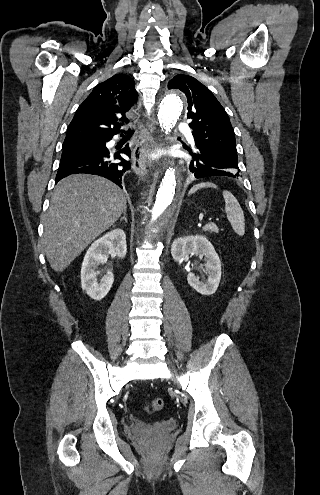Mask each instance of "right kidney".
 I'll return each mask as SVG.
<instances>
[{
	"instance_id": "obj_1",
	"label": "right kidney",
	"mask_w": 320,
	"mask_h": 495,
	"mask_svg": "<svg viewBox=\"0 0 320 495\" xmlns=\"http://www.w3.org/2000/svg\"><path fill=\"white\" fill-rule=\"evenodd\" d=\"M127 253L126 235L122 229H114L92 243L86 252L81 267V285L87 295L94 300H101L110 291L114 275L108 271L97 282L96 269L99 264L107 262L108 255L114 254L124 258Z\"/></svg>"
}]
</instances>
